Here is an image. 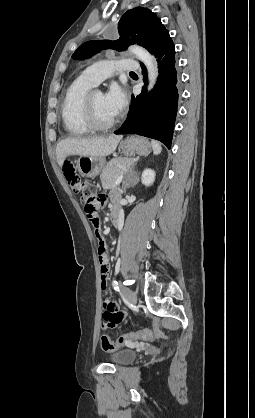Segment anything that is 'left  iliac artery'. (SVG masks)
I'll use <instances>...</instances> for the list:
<instances>
[{
  "label": "left iliac artery",
  "instance_id": "44dca946",
  "mask_svg": "<svg viewBox=\"0 0 255 418\" xmlns=\"http://www.w3.org/2000/svg\"><path fill=\"white\" fill-rule=\"evenodd\" d=\"M112 286H113V288H114L116 291H119V285H118V282H117L116 280H114V281L112 282Z\"/></svg>",
  "mask_w": 255,
  "mask_h": 418
}]
</instances>
